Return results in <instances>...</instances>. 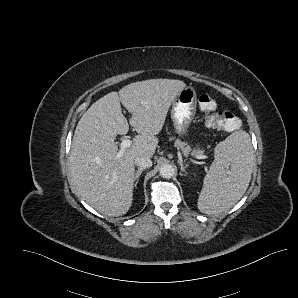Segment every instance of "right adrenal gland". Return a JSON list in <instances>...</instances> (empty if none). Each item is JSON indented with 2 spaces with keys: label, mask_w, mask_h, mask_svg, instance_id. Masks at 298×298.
I'll use <instances>...</instances> for the list:
<instances>
[{
  "label": "right adrenal gland",
  "mask_w": 298,
  "mask_h": 298,
  "mask_svg": "<svg viewBox=\"0 0 298 298\" xmlns=\"http://www.w3.org/2000/svg\"><path fill=\"white\" fill-rule=\"evenodd\" d=\"M146 169H147V168L139 167L137 170H135L134 175H133V182H135L136 179L140 178L141 173H142L143 171H145Z\"/></svg>",
  "instance_id": "obj_1"
}]
</instances>
